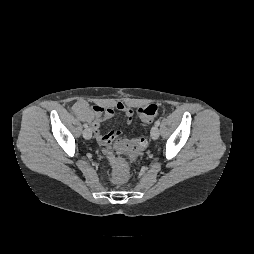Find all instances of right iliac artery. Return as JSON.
<instances>
[{"mask_svg": "<svg viewBox=\"0 0 254 254\" xmlns=\"http://www.w3.org/2000/svg\"><path fill=\"white\" fill-rule=\"evenodd\" d=\"M83 126H84V128H88V125L86 123Z\"/></svg>", "mask_w": 254, "mask_h": 254, "instance_id": "1", "label": "right iliac artery"}]
</instances>
